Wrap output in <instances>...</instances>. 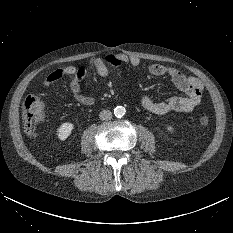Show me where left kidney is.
<instances>
[{
    "instance_id": "left-kidney-1",
    "label": "left kidney",
    "mask_w": 233,
    "mask_h": 233,
    "mask_svg": "<svg viewBox=\"0 0 233 233\" xmlns=\"http://www.w3.org/2000/svg\"><path fill=\"white\" fill-rule=\"evenodd\" d=\"M167 130H168L169 132H171V133L174 132V128H173L172 126H168V127H167Z\"/></svg>"
}]
</instances>
